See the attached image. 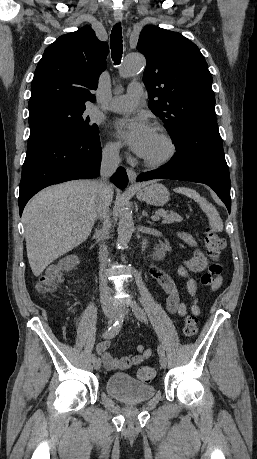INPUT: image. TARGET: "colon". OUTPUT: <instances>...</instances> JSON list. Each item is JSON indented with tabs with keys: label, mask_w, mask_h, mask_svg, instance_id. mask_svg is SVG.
<instances>
[{
	"label": "colon",
	"mask_w": 257,
	"mask_h": 459,
	"mask_svg": "<svg viewBox=\"0 0 257 459\" xmlns=\"http://www.w3.org/2000/svg\"><path fill=\"white\" fill-rule=\"evenodd\" d=\"M207 254L214 261L209 269L202 274L201 284L203 286L210 285L214 278L222 271V266L218 262L219 256L224 249L225 242L222 237L207 229L204 238ZM73 259L50 268L43 276L40 277L36 284V289L41 294L52 293L65 272L70 271L74 266ZM198 331L197 318L194 315L188 316L183 324V333L186 337L194 336ZM137 376L143 381H150L155 376V370L151 366H142L137 370Z\"/></svg>",
	"instance_id": "colon-1"
}]
</instances>
